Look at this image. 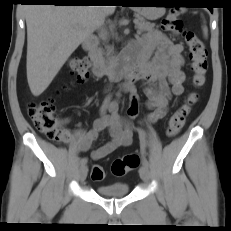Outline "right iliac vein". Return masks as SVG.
Segmentation results:
<instances>
[{"label":"right iliac vein","mask_w":231,"mask_h":231,"mask_svg":"<svg viewBox=\"0 0 231 231\" xmlns=\"http://www.w3.org/2000/svg\"><path fill=\"white\" fill-rule=\"evenodd\" d=\"M87 173H88V168L87 166H81V168L79 169V174H78V180L80 182H84L86 177H87Z\"/></svg>","instance_id":"63e3f726"}]
</instances>
